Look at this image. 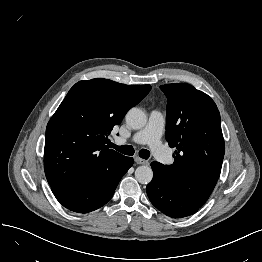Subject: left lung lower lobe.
Instances as JSON below:
<instances>
[{
	"instance_id": "0a47b994",
	"label": "left lung lower lobe",
	"mask_w": 262,
	"mask_h": 262,
	"mask_svg": "<svg viewBox=\"0 0 262 262\" xmlns=\"http://www.w3.org/2000/svg\"><path fill=\"white\" fill-rule=\"evenodd\" d=\"M153 180L148 184L146 191L151 203L162 213L172 218H183L198 211L200 207L192 204L166 177L163 164L152 162Z\"/></svg>"
}]
</instances>
